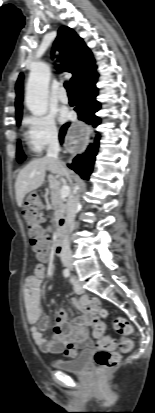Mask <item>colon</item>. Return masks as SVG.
<instances>
[{"label": "colon", "mask_w": 155, "mask_h": 413, "mask_svg": "<svg viewBox=\"0 0 155 413\" xmlns=\"http://www.w3.org/2000/svg\"><path fill=\"white\" fill-rule=\"evenodd\" d=\"M42 199L41 192H30L25 198L22 215L28 225L31 246L38 259H44L49 253V237L42 225L43 211L39 201ZM89 311L97 320L107 317V311L98 298H90L87 302ZM115 330L123 335L118 343L121 352H129L132 349V340L129 335L133 332L131 324L123 317L114 319ZM99 350L94 355V361L101 372L114 369L120 362L121 356L117 351L111 350V340L105 336L100 328L97 329Z\"/></svg>", "instance_id": "5ec220e1"}]
</instances>
